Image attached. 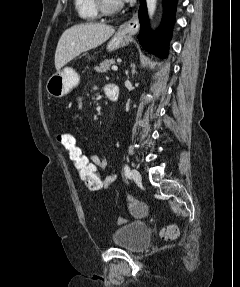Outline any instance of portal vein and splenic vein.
Listing matches in <instances>:
<instances>
[{"label": "portal vein and splenic vein", "mask_w": 240, "mask_h": 287, "mask_svg": "<svg viewBox=\"0 0 240 287\" xmlns=\"http://www.w3.org/2000/svg\"><path fill=\"white\" fill-rule=\"evenodd\" d=\"M112 70H113V71H117V70H118V67H117L116 65H113V66H112Z\"/></svg>", "instance_id": "obj_1"}]
</instances>
